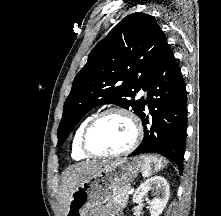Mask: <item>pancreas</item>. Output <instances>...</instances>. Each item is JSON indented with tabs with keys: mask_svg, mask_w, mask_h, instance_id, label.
<instances>
[{
	"mask_svg": "<svg viewBox=\"0 0 221 216\" xmlns=\"http://www.w3.org/2000/svg\"><path fill=\"white\" fill-rule=\"evenodd\" d=\"M130 189L129 185L122 187L121 189L117 190L116 193L113 195L111 200L112 203L124 208L128 202V191Z\"/></svg>",
	"mask_w": 221,
	"mask_h": 216,
	"instance_id": "cf45deb5",
	"label": "pancreas"
}]
</instances>
